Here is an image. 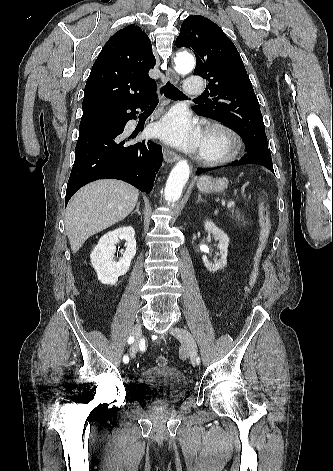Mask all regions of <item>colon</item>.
I'll list each match as a JSON object with an SVG mask.
<instances>
[{"instance_id":"obj_1","label":"colon","mask_w":333,"mask_h":471,"mask_svg":"<svg viewBox=\"0 0 333 471\" xmlns=\"http://www.w3.org/2000/svg\"><path fill=\"white\" fill-rule=\"evenodd\" d=\"M258 219H259V239L257 243V247L253 256V266L249 277V284L247 288V294L249 295L255 288L257 283L258 274H259V264L262 258L263 252L266 248L268 238L271 231V221L270 215L267 207L260 202L258 206ZM167 358L165 356H158L156 358V364L158 366H166L167 365Z\"/></svg>"}]
</instances>
